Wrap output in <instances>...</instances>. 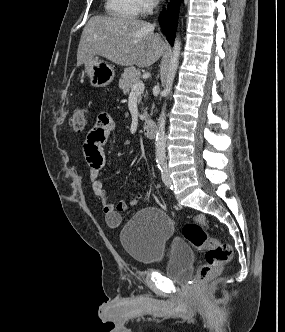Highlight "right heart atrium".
Instances as JSON below:
<instances>
[{
    "instance_id": "1",
    "label": "right heart atrium",
    "mask_w": 285,
    "mask_h": 332,
    "mask_svg": "<svg viewBox=\"0 0 285 332\" xmlns=\"http://www.w3.org/2000/svg\"><path fill=\"white\" fill-rule=\"evenodd\" d=\"M139 13L145 14L153 10L157 5V0H136Z\"/></svg>"
}]
</instances>
